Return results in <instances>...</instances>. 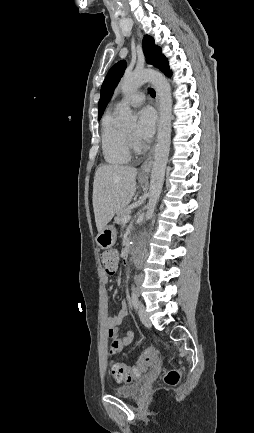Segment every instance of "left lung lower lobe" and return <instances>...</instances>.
I'll list each match as a JSON object with an SVG mask.
<instances>
[{
  "mask_svg": "<svg viewBox=\"0 0 254 433\" xmlns=\"http://www.w3.org/2000/svg\"><path fill=\"white\" fill-rule=\"evenodd\" d=\"M163 72H164V74H166L167 76H171V71H170L169 67H167Z\"/></svg>",
  "mask_w": 254,
  "mask_h": 433,
  "instance_id": "0a47b994",
  "label": "left lung lower lobe"
}]
</instances>
